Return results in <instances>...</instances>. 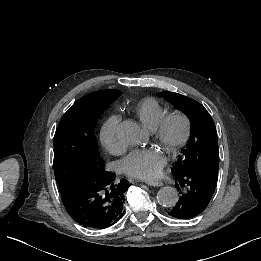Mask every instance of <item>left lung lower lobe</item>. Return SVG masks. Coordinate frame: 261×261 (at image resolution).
<instances>
[{"label":"left lung lower lobe","instance_id":"0a47b994","mask_svg":"<svg viewBox=\"0 0 261 261\" xmlns=\"http://www.w3.org/2000/svg\"><path fill=\"white\" fill-rule=\"evenodd\" d=\"M174 175L178 178L176 187L180 191V197L168 214L177 219L198 216L207 207L214 194L217 176L194 169Z\"/></svg>","mask_w":261,"mask_h":261}]
</instances>
